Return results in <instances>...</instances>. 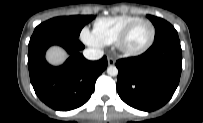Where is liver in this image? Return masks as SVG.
Here are the masks:
<instances>
[{
	"mask_svg": "<svg viewBox=\"0 0 203 123\" xmlns=\"http://www.w3.org/2000/svg\"><path fill=\"white\" fill-rule=\"evenodd\" d=\"M66 51L59 46H51L46 52V60L51 65H60L67 59Z\"/></svg>",
	"mask_w": 203,
	"mask_h": 123,
	"instance_id": "6515ba94",
	"label": "liver"
}]
</instances>
